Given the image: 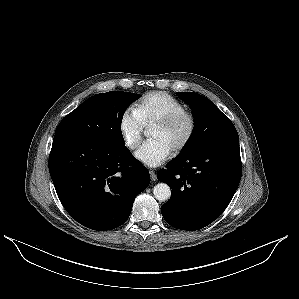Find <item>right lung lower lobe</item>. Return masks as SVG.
<instances>
[{"instance_id":"1","label":"right lung lower lobe","mask_w":299,"mask_h":299,"mask_svg":"<svg viewBox=\"0 0 299 299\" xmlns=\"http://www.w3.org/2000/svg\"><path fill=\"white\" fill-rule=\"evenodd\" d=\"M49 171L65 210L81 225L111 230L129 217L135 197L150 183L148 170L128 149L54 137Z\"/></svg>"}]
</instances>
